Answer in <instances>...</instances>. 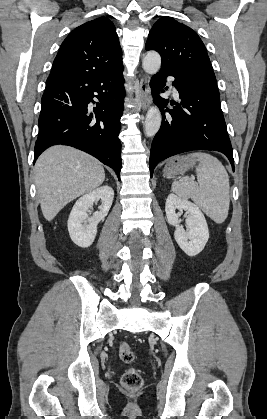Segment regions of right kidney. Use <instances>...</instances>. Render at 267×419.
<instances>
[{
    "mask_svg": "<svg viewBox=\"0 0 267 419\" xmlns=\"http://www.w3.org/2000/svg\"><path fill=\"white\" fill-rule=\"evenodd\" d=\"M113 198V189L110 186H102L86 193L76 201L68 218L69 235L76 245L87 248L93 243L97 234V225L107 216ZM99 200L102 202L99 211L89 217L86 211Z\"/></svg>",
    "mask_w": 267,
    "mask_h": 419,
    "instance_id": "1",
    "label": "right kidney"
}]
</instances>
